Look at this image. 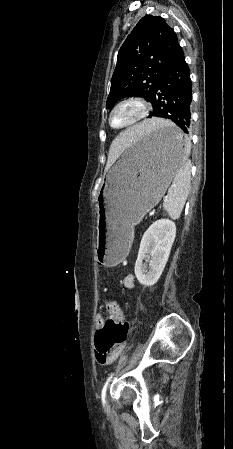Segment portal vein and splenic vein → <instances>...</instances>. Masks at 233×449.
Listing matches in <instances>:
<instances>
[{
  "mask_svg": "<svg viewBox=\"0 0 233 449\" xmlns=\"http://www.w3.org/2000/svg\"><path fill=\"white\" fill-rule=\"evenodd\" d=\"M155 212H156V210L155 209H153L150 213H149V215H154L155 214Z\"/></svg>",
  "mask_w": 233,
  "mask_h": 449,
  "instance_id": "18ae733b",
  "label": "portal vein and splenic vein"
}]
</instances>
